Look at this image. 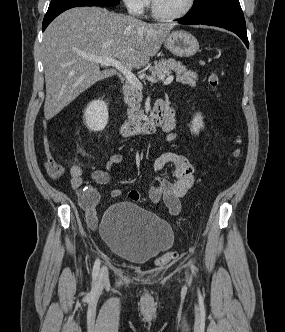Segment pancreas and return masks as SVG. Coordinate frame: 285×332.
I'll return each instance as SVG.
<instances>
[{"mask_svg":"<svg viewBox=\"0 0 285 332\" xmlns=\"http://www.w3.org/2000/svg\"><path fill=\"white\" fill-rule=\"evenodd\" d=\"M152 76H169L172 71L176 73V81L190 86L196 85L198 79L197 73L187 70L180 62L175 59H163L155 63V66L150 69ZM124 99L128 104V120L132 124L141 121L144 116L140 102L142 101V93L134 88L132 85H125L123 87ZM129 96H132L129 98Z\"/></svg>","mask_w":285,"mask_h":332,"instance_id":"cf45deb5","label":"pancreas"}]
</instances>
